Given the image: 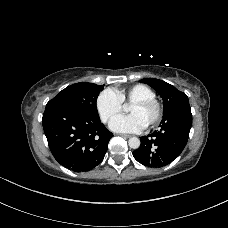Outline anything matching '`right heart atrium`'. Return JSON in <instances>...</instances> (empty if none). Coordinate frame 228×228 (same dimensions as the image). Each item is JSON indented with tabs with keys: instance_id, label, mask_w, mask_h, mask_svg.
<instances>
[{
	"instance_id": "right-heart-atrium-1",
	"label": "right heart atrium",
	"mask_w": 228,
	"mask_h": 228,
	"mask_svg": "<svg viewBox=\"0 0 228 228\" xmlns=\"http://www.w3.org/2000/svg\"><path fill=\"white\" fill-rule=\"evenodd\" d=\"M96 109L103 122L110 121L122 110V101L115 90L104 89L96 98Z\"/></svg>"
}]
</instances>
